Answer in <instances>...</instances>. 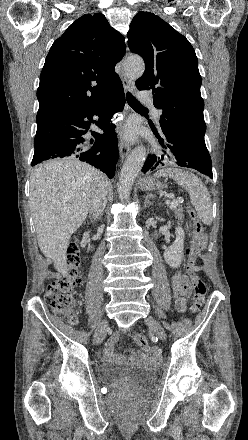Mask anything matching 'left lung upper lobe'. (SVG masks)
Returning <instances> with one entry per match:
<instances>
[{"instance_id":"5c2ea615","label":"left lung upper lobe","mask_w":248,"mask_h":440,"mask_svg":"<svg viewBox=\"0 0 248 440\" xmlns=\"http://www.w3.org/2000/svg\"><path fill=\"white\" fill-rule=\"evenodd\" d=\"M128 47L145 62L136 81L139 90H152L154 106L162 110L160 126L204 139V101L198 59L190 42L151 12H139L127 33Z\"/></svg>"}]
</instances>
